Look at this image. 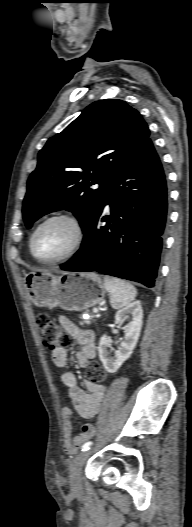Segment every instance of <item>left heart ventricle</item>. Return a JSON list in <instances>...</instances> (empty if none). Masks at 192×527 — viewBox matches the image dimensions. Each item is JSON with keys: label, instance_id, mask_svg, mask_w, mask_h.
Masks as SVG:
<instances>
[{"label": "left heart ventricle", "instance_id": "1", "mask_svg": "<svg viewBox=\"0 0 192 527\" xmlns=\"http://www.w3.org/2000/svg\"><path fill=\"white\" fill-rule=\"evenodd\" d=\"M74 237L75 231L69 221L52 220L39 230L35 240V251L40 258H55L69 249Z\"/></svg>", "mask_w": 192, "mask_h": 527}]
</instances>
